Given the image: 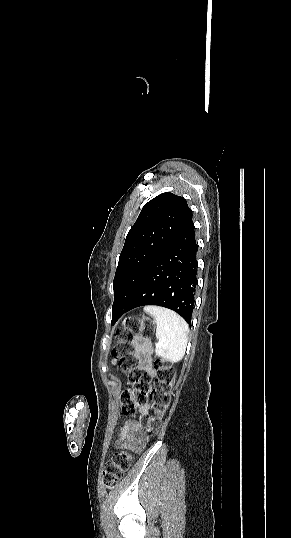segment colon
I'll return each instance as SVG.
<instances>
[{
    "label": "colon",
    "instance_id": "colon-1",
    "mask_svg": "<svg viewBox=\"0 0 291 538\" xmlns=\"http://www.w3.org/2000/svg\"><path fill=\"white\" fill-rule=\"evenodd\" d=\"M128 328L120 332L121 341L113 350L120 369L127 375L131 389L124 391L121 396V411L125 415H133L136 408L143 407L148 399L152 401L153 413L140 417V426L149 436L159 432L161 417L169 406L171 387L175 379L174 370L160 360H155L156 377L151 384L148 373L143 368L140 355L132 352L130 340L137 331L143 336L153 332V324L148 318H135L127 322ZM128 452L123 449L106 462L103 470V483L108 487L115 486L128 469Z\"/></svg>",
    "mask_w": 291,
    "mask_h": 538
}]
</instances>
